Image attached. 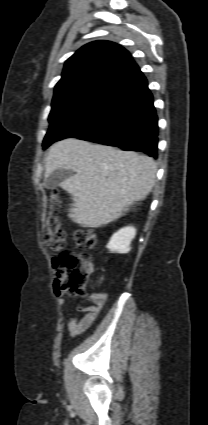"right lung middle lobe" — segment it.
<instances>
[{
  "label": "right lung middle lobe",
  "instance_id": "obj_1",
  "mask_svg": "<svg viewBox=\"0 0 208 425\" xmlns=\"http://www.w3.org/2000/svg\"><path fill=\"white\" fill-rule=\"evenodd\" d=\"M102 90H82L71 93L58 100L52 101V109L49 115L50 128L63 115L87 105L101 94ZM50 130V129H49ZM48 133V132H47ZM52 143L49 135L46 134L43 141L44 149Z\"/></svg>",
  "mask_w": 208,
  "mask_h": 425
}]
</instances>
